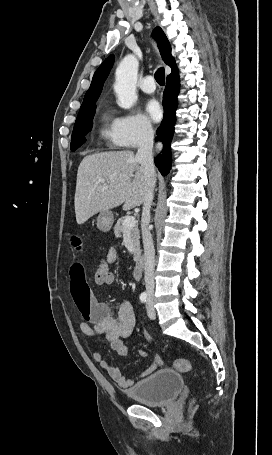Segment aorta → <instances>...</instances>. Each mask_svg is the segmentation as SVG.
Wrapping results in <instances>:
<instances>
[{"mask_svg":"<svg viewBox=\"0 0 272 455\" xmlns=\"http://www.w3.org/2000/svg\"><path fill=\"white\" fill-rule=\"evenodd\" d=\"M137 72L138 60L133 54L126 55L116 69L114 91L121 108L130 109L137 100Z\"/></svg>","mask_w":272,"mask_h":455,"instance_id":"762f6f07","label":"aorta"}]
</instances>
